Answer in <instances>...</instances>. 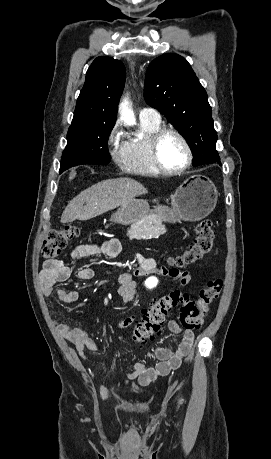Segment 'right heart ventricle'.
<instances>
[{
    "mask_svg": "<svg viewBox=\"0 0 271 459\" xmlns=\"http://www.w3.org/2000/svg\"><path fill=\"white\" fill-rule=\"evenodd\" d=\"M161 128V123L141 119V134L126 143L122 157L121 167L129 172L139 175H158L161 171L156 167L151 157V137Z\"/></svg>",
    "mask_w": 271,
    "mask_h": 459,
    "instance_id": "right-heart-ventricle-1",
    "label": "right heart ventricle"
}]
</instances>
